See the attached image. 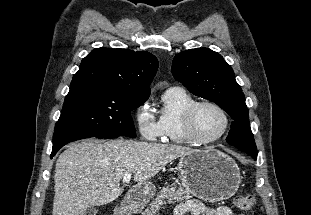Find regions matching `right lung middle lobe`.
<instances>
[{
    "label": "right lung middle lobe",
    "instance_id": "1",
    "mask_svg": "<svg viewBox=\"0 0 311 215\" xmlns=\"http://www.w3.org/2000/svg\"><path fill=\"white\" fill-rule=\"evenodd\" d=\"M148 96L93 86L70 88L56 123L53 143L77 137L119 135L134 138L131 111Z\"/></svg>",
    "mask_w": 311,
    "mask_h": 215
}]
</instances>
